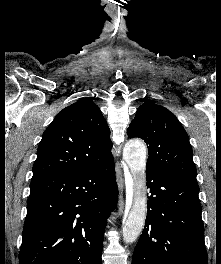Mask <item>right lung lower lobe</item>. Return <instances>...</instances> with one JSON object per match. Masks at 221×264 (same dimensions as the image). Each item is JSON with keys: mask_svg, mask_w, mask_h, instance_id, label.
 <instances>
[{"mask_svg": "<svg viewBox=\"0 0 221 264\" xmlns=\"http://www.w3.org/2000/svg\"><path fill=\"white\" fill-rule=\"evenodd\" d=\"M118 200L113 157L31 181L19 264H101Z\"/></svg>", "mask_w": 221, "mask_h": 264, "instance_id": "1", "label": "right lung lower lobe"}]
</instances>
